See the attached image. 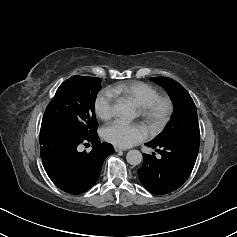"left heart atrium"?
Returning a JSON list of instances; mask_svg holds the SVG:
<instances>
[{"label": "left heart atrium", "instance_id": "1", "mask_svg": "<svg viewBox=\"0 0 237 237\" xmlns=\"http://www.w3.org/2000/svg\"><path fill=\"white\" fill-rule=\"evenodd\" d=\"M102 136L105 141L114 146L128 148L144 141L148 133L140 125L115 121L103 129Z\"/></svg>", "mask_w": 237, "mask_h": 237}]
</instances>
